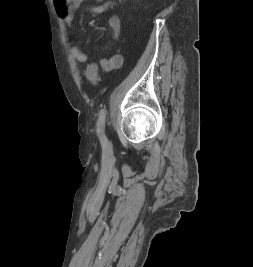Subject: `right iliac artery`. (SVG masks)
Here are the masks:
<instances>
[{
    "instance_id": "1",
    "label": "right iliac artery",
    "mask_w": 253,
    "mask_h": 267,
    "mask_svg": "<svg viewBox=\"0 0 253 267\" xmlns=\"http://www.w3.org/2000/svg\"><path fill=\"white\" fill-rule=\"evenodd\" d=\"M105 118H106V112L102 110L97 122V135L103 147H107L108 145V140L104 133Z\"/></svg>"
}]
</instances>
